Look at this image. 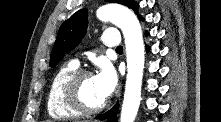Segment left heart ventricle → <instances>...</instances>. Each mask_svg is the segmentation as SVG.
<instances>
[{"mask_svg":"<svg viewBox=\"0 0 221 122\" xmlns=\"http://www.w3.org/2000/svg\"><path fill=\"white\" fill-rule=\"evenodd\" d=\"M80 94L83 101L89 106H97L105 101L97 88L94 76L85 78L82 81Z\"/></svg>","mask_w":221,"mask_h":122,"instance_id":"1","label":"left heart ventricle"}]
</instances>
